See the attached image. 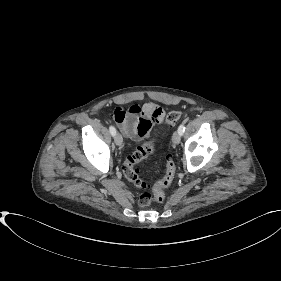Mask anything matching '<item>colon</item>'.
<instances>
[{
    "mask_svg": "<svg viewBox=\"0 0 281 281\" xmlns=\"http://www.w3.org/2000/svg\"><path fill=\"white\" fill-rule=\"evenodd\" d=\"M137 104L131 106L128 111H136ZM124 108H117L113 113L115 121L121 120L128 112ZM182 118V113L179 111H172L166 117V124L175 125ZM156 140L150 139L146 141L142 146L129 155L123 164V173L127 180L131 182L137 188L144 190L145 192L140 195L138 204L141 207H147L152 202H162L165 198V188H167L173 181L176 167L173 160L168 156L166 158V168L164 176L156 181L153 185L146 183L139 175L136 166L146 160L155 150ZM151 190V193L148 192Z\"/></svg>",
    "mask_w": 281,
    "mask_h": 281,
    "instance_id": "1",
    "label": "colon"
}]
</instances>
